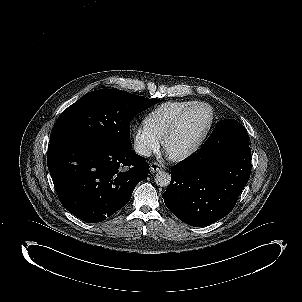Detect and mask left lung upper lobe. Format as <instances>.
<instances>
[{"label":"left lung upper lobe","mask_w":302,"mask_h":302,"mask_svg":"<svg viewBox=\"0 0 302 302\" xmlns=\"http://www.w3.org/2000/svg\"><path fill=\"white\" fill-rule=\"evenodd\" d=\"M249 146V136L245 128L234 119L221 121L201 148L213 147L219 152L239 151Z\"/></svg>","instance_id":"left-lung-upper-lobe-1"}]
</instances>
